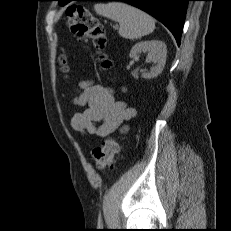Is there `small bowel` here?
<instances>
[{
  "label": "small bowel",
  "mask_w": 231,
  "mask_h": 231,
  "mask_svg": "<svg viewBox=\"0 0 231 231\" xmlns=\"http://www.w3.org/2000/svg\"><path fill=\"white\" fill-rule=\"evenodd\" d=\"M81 92L73 98L83 110L71 121L72 128L82 135L106 137L115 131L126 133L125 122L136 116V110L117 101L111 89L92 82H82Z\"/></svg>",
  "instance_id": "c3829d8e"
}]
</instances>
